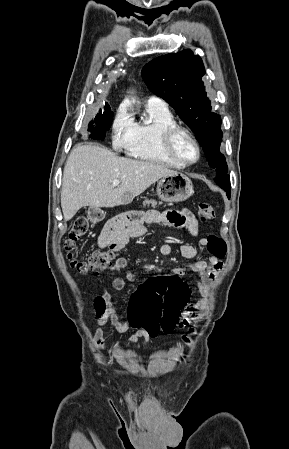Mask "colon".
Listing matches in <instances>:
<instances>
[{
  "instance_id": "obj_1",
  "label": "colon",
  "mask_w": 289,
  "mask_h": 449,
  "mask_svg": "<svg viewBox=\"0 0 289 449\" xmlns=\"http://www.w3.org/2000/svg\"><path fill=\"white\" fill-rule=\"evenodd\" d=\"M199 213L202 221L207 222L215 217L211 205L201 203ZM88 219L84 216L77 218L68 233L65 241L67 257L72 269L81 273L99 272L112 266L116 259V252L107 250L94 251L88 260H79L74 255L76 244L88 229ZM209 253L222 259L227 252L226 242L219 236L210 234L207 237ZM138 289L127 301L129 322L132 327L145 330L150 337H156L160 332L170 334L182 322V313L189 299V288L184 281L175 276L160 275L150 283L142 280ZM96 307L100 313L103 309L102 298H97ZM195 329L182 337L187 346L192 344Z\"/></svg>"
}]
</instances>
